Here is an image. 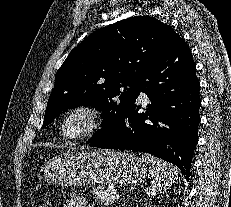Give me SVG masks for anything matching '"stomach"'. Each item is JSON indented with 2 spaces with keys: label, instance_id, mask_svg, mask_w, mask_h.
Wrapping results in <instances>:
<instances>
[{
  "label": "stomach",
  "instance_id": "obj_1",
  "mask_svg": "<svg viewBox=\"0 0 231 207\" xmlns=\"http://www.w3.org/2000/svg\"><path fill=\"white\" fill-rule=\"evenodd\" d=\"M146 163L138 156L115 150L71 151L54 157L45 167L49 184L116 185L142 181Z\"/></svg>",
  "mask_w": 231,
  "mask_h": 207
}]
</instances>
